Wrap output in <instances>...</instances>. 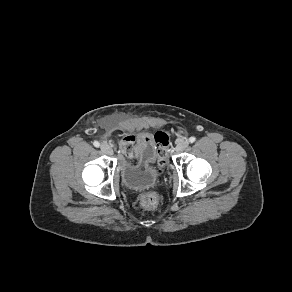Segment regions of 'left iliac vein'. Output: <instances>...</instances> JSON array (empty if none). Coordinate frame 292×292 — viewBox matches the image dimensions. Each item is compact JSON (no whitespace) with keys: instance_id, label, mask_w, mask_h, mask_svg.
<instances>
[{"instance_id":"obj_1","label":"left iliac vein","mask_w":292,"mask_h":292,"mask_svg":"<svg viewBox=\"0 0 292 292\" xmlns=\"http://www.w3.org/2000/svg\"><path fill=\"white\" fill-rule=\"evenodd\" d=\"M189 145V142L187 140H180L175 148L176 152H182L184 151Z\"/></svg>"}]
</instances>
